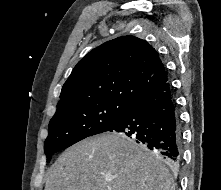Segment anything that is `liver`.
Masks as SVG:
<instances>
[{"instance_id":"1","label":"liver","mask_w":221,"mask_h":190,"mask_svg":"<svg viewBox=\"0 0 221 190\" xmlns=\"http://www.w3.org/2000/svg\"><path fill=\"white\" fill-rule=\"evenodd\" d=\"M45 180V190H174L168 169L117 133L90 137L66 149Z\"/></svg>"}]
</instances>
